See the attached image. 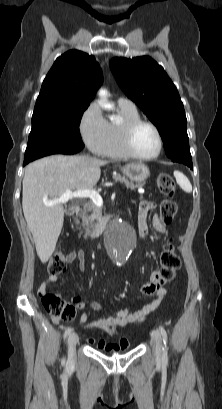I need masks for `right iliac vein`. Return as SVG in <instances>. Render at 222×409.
I'll use <instances>...</instances> for the list:
<instances>
[{"instance_id":"obj_1","label":"right iliac vein","mask_w":222,"mask_h":409,"mask_svg":"<svg viewBox=\"0 0 222 409\" xmlns=\"http://www.w3.org/2000/svg\"><path fill=\"white\" fill-rule=\"evenodd\" d=\"M78 342V335L76 333H71L68 337V359L73 361L75 358V346Z\"/></svg>"}]
</instances>
